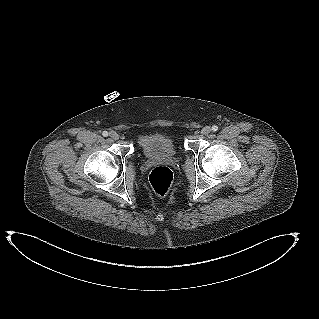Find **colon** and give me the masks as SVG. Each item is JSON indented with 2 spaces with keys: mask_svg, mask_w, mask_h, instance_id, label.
<instances>
[{
  "mask_svg": "<svg viewBox=\"0 0 319 319\" xmlns=\"http://www.w3.org/2000/svg\"><path fill=\"white\" fill-rule=\"evenodd\" d=\"M173 172L166 166L155 167L150 175L149 182L154 192L160 196L166 195L173 183Z\"/></svg>",
  "mask_w": 319,
  "mask_h": 319,
  "instance_id": "obj_1",
  "label": "colon"
}]
</instances>
